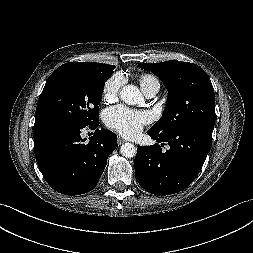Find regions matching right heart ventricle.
<instances>
[{
  "label": "right heart ventricle",
  "mask_w": 253,
  "mask_h": 253,
  "mask_svg": "<svg viewBox=\"0 0 253 253\" xmlns=\"http://www.w3.org/2000/svg\"><path fill=\"white\" fill-rule=\"evenodd\" d=\"M139 84L144 91V93L152 88L159 89L160 81L159 79L151 73H143L138 77Z\"/></svg>",
  "instance_id": "1"
}]
</instances>
